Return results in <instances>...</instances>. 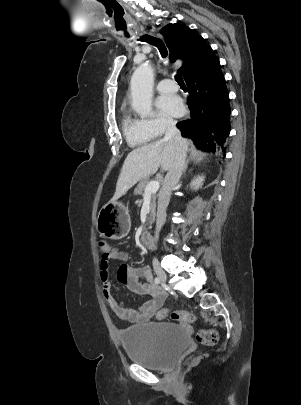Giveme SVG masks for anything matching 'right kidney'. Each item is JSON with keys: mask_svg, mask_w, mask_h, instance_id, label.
<instances>
[{"mask_svg": "<svg viewBox=\"0 0 301 405\" xmlns=\"http://www.w3.org/2000/svg\"><path fill=\"white\" fill-rule=\"evenodd\" d=\"M204 181V176H197V178H194L191 183L190 187H194V189H198L200 185H202V182Z\"/></svg>", "mask_w": 301, "mask_h": 405, "instance_id": "1", "label": "right kidney"}]
</instances>
